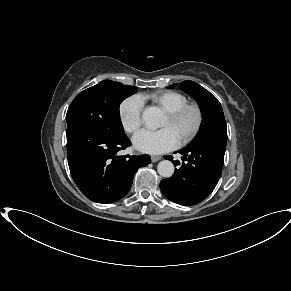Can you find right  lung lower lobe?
Listing matches in <instances>:
<instances>
[{"label": "right lung lower lobe", "mask_w": 291, "mask_h": 291, "mask_svg": "<svg viewBox=\"0 0 291 291\" xmlns=\"http://www.w3.org/2000/svg\"><path fill=\"white\" fill-rule=\"evenodd\" d=\"M66 134L72 178L81 192L94 202L112 203L123 198L138 168L151 162L146 154H117L131 145L125 134L102 135L82 127H69Z\"/></svg>", "instance_id": "right-lung-lower-lobe-1"}]
</instances>
